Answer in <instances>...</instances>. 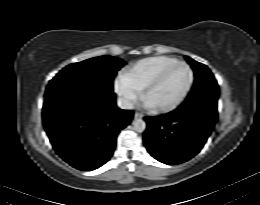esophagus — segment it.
<instances>
[{"mask_svg": "<svg viewBox=\"0 0 260 205\" xmlns=\"http://www.w3.org/2000/svg\"><path fill=\"white\" fill-rule=\"evenodd\" d=\"M143 117V115L139 112H135L134 114V119H141Z\"/></svg>", "mask_w": 260, "mask_h": 205, "instance_id": "34e87169", "label": "esophagus"}]
</instances>
